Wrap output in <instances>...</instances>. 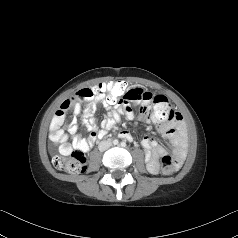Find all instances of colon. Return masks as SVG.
Returning a JSON list of instances; mask_svg holds the SVG:
<instances>
[{
	"label": "colon",
	"mask_w": 238,
	"mask_h": 238,
	"mask_svg": "<svg viewBox=\"0 0 238 238\" xmlns=\"http://www.w3.org/2000/svg\"><path fill=\"white\" fill-rule=\"evenodd\" d=\"M128 90L126 83L121 80H103V83L94 87L79 90L72 99L83 101L93 97H103L109 103H119ZM150 114L158 122H168L175 116L168 99L162 95L154 97ZM53 164L60 171L80 174L86 169V157L82 151H73L65 156H56ZM177 166V160L166 154L162 158L160 172L163 175H170L176 171Z\"/></svg>",
	"instance_id": "colon-1"
}]
</instances>
